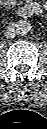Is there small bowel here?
Masks as SVG:
<instances>
[{"label": "small bowel", "instance_id": "c3829d8e", "mask_svg": "<svg viewBox=\"0 0 47 129\" xmlns=\"http://www.w3.org/2000/svg\"><path fill=\"white\" fill-rule=\"evenodd\" d=\"M17 0H2V3L6 6H13L15 5Z\"/></svg>", "mask_w": 47, "mask_h": 129}]
</instances>
